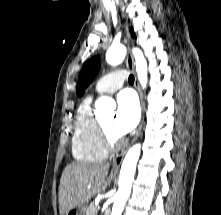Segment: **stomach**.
<instances>
[{"mask_svg": "<svg viewBox=\"0 0 221 215\" xmlns=\"http://www.w3.org/2000/svg\"><path fill=\"white\" fill-rule=\"evenodd\" d=\"M86 206L74 208L66 213V215H85Z\"/></svg>", "mask_w": 221, "mask_h": 215, "instance_id": "1", "label": "stomach"}]
</instances>
